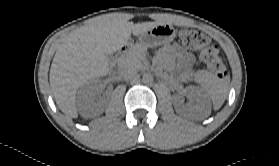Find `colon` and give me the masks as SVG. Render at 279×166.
<instances>
[{"label": "colon", "instance_id": "colon-1", "mask_svg": "<svg viewBox=\"0 0 279 166\" xmlns=\"http://www.w3.org/2000/svg\"><path fill=\"white\" fill-rule=\"evenodd\" d=\"M181 43L185 49L198 53L199 59L209 70L219 78L227 75L224 63L215 46L210 45L208 37L194 29H184L179 33Z\"/></svg>", "mask_w": 279, "mask_h": 166}]
</instances>
